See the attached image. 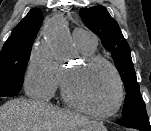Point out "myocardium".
<instances>
[{
    "mask_svg": "<svg viewBox=\"0 0 151 131\" xmlns=\"http://www.w3.org/2000/svg\"><path fill=\"white\" fill-rule=\"evenodd\" d=\"M95 64H103L111 71L113 74L116 84H117V97L114 105L107 111H96L87 107L79 99H77L70 88L71 80L85 68H89ZM62 94L65 101L75 109L95 118H109L115 115L121 108L124 97L125 88L124 83L116 67L106 58L98 55H87L83 56L82 62L77 66L66 71L63 82H62Z\"/></svg>",
    "mask_w": 151,
    "mask_h": 131,
    "instance_id": "obj_1",
    "label": "myocardium"
}]
</instances>
